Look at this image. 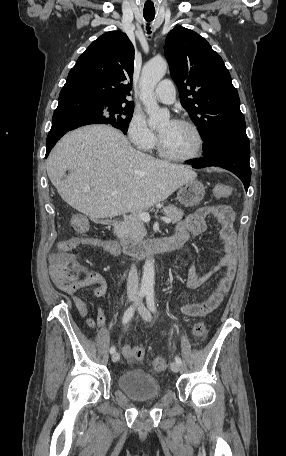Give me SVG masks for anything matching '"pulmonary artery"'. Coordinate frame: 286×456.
<instances>
[{"label": "pulmonary artery", "mask_w": 286, "mask_h": 456, "mask_svg": "<svg viewBox=\"0 0 286 456\" xmlns=\"http://www.w3.org/2000/svg\"><path fill=\"white\" fill-rule=\"evenodd\" d=\"M157 100L165 104H172L176 99V89L171 80L161 81L154 90Z\"/></svg>", "instance_id": "e3ab8cb5"}]
</instances>
